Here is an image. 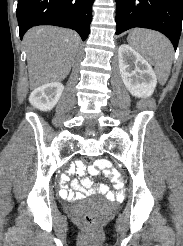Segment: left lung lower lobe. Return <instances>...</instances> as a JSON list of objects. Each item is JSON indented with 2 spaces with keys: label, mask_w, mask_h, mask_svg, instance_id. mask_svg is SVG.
<instances>
[{
  "label": "left lung lower lobe",
  "mask_w": 183,
  "mask_h": 246,
  "mask_svg": "<svg viewBox=\"0 0 183 246\" xmlns=\"http://www.w3.org/2000/svg\"><path fill=\"white\" fill-rule=\"evenodd\" d=\"M183 0H116V34L141 27L166 35L176 50L182 30Z\"/></svg>",
  "instance_id": "obj_1"
}]
</instances>
